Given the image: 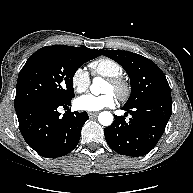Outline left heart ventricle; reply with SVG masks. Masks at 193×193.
Wrapping results in <instances>:
<instances>
[{"label":"left heart ventricle","mask_w":193,"mask_h":193,"mask_svg":"<svg viewBox=\"0 0 193 193\" xmlns=\"http://www.w3.org/2000/svg\"><path fill=\"white\" fill-rule=\"evenodd\" d=\"M103 93H114L113 87L111 86V84L109 82L106 81V83L104 84Z\"/></svg>","instance_id":"b2bd125f"}]
</instances>
